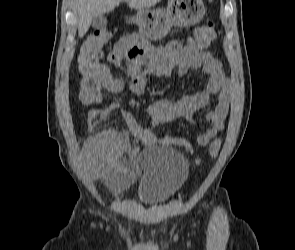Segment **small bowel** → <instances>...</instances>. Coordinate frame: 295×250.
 I'll list each match as a JSON object with an SVG mask.
<instances>
[{"mask_svg":"<svg viewBox=\"0 0 295 250\" xmlns=\"http://www.w3.org/2000/svg\"><path fill=\"white\" fill-rule=\"evenodd\" d=\"M103 57V53L98 51L94 56L93 69L90 72L81 71L78 96L84 105H99L103 100L104 90L120 93L128 88L133 94L141 95L148 75L168 77L175 68L180 75L202 69L209 76L207 88L203 91L177 100L162 98L152 102L148 106L151 118L148 127L138 125L130 113L118 104H111L105 109L107 113L120 110L131 134L140 145L178 146L188 153L192 152V144L187 139L170 135L158 137L153 127L178 118L194 122V112L206 107H212L205 116L209 126L198 134L197 145L207 146L224 129L230 105L228 81L221 62L194 40L174 39L164 46L154 47L137 33L122 37L105 58L108 63L117 67L124 61L128 63L126 80L115 77L110 67L103 62ZM213 96H216L214 102ZM124 149V143L113 130H106L89 138L82 150L89 177L103 181L115 191L128 187L140 175V171L135 168L123 170L119 167L118 157ZM138 151L139 145L131 148L132 155Z\"/></svg>","mask_w":295,"mask_h":250,"instance_id":"c3829d8e","label":"small bowel"}]
</instances>
